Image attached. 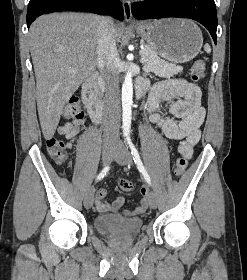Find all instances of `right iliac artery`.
I'll return each mask as SVG.
<instances>
[{
    "instance_id": "obj_1",
    "label": "right iliac artery",
    "mask_w": 247,
    "mask_h": 280,
    "mask_svg": "<svg viewBox=\"0 0 247 280\" xmlns=\"http://www.w3.org/2000/svg\"><path fill=\"white\" fill-rule=\"evenodd\" d=\"M110 166H106L97 176L96 180H101L109 171Z\"/></svg>"
}]
</instances>
